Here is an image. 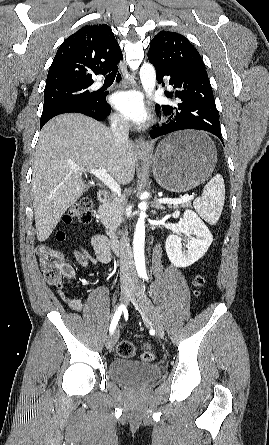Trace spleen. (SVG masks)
<instances>
[{
    "mask_svg": "<svg viewBox=\"0 0 269 445\" xmlns=\"http://www.w3.org/2000/svg\"><path fill=\"white\" fill-rule=\"evenodd\" d=\"M225 200L223 177L216 174L204 187L202 196L194 202L196 212L209 224L215 225L221 216Z\"/></svg>",
    "mask_w": 269,
    "mask_h": 445,
    "instance_id": "1",
    "label": "spleen"
}]
</instances>
